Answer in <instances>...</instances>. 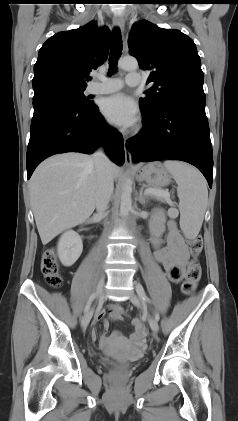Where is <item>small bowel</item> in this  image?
<instances>
[{"label": "small bowel", "mask_w": 238, "mask_h": 421, "mask_svg": "<svg viewBox=\"0 0 238 421\" xmlns=\"http://www.w3.org/2000/svg\"><path fill=\"white\" fill-rule=\"evenodd\" d=\"M150 230L155 259L164 267L172 281H180L189 258V249L175 220L167 218L165 212L161 210L156 211L151 219ZM164 233H166L165 243L162 239ZM108 313L111 319L119 321L123 318L124 310L120 305L112 304L108 307ZM96 320L103 324L101 336V346L103 348L108 347L113 342L124 341V338L118 332H114L111 336L107 335L109 322L105 318L104 311L97 313ZM132 325L134 332L130 337V341L141 346L144 343L142 324L138 320H133ZM95 333V330H93V338H95Z\"/></svg>", "instance_id": "c3829d8e"}]
</instances>
